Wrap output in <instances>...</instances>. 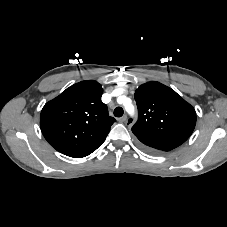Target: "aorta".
<instances>
[{"instance_id": "1", "label": "aorta", "mask_w": 227, "mask_h": 227, "mask_svg": "<svg viewBox=\"0 0 227 227\" xmlns=\"http://www.w3.org/2000/svg\"><path fill=\"white\" fill-rule=\"evenodd\" d=\"M125 108H126V111L129 113V114H133L134 113V107L131 105V104H126L125 105Z\"/></svg>"}]
</instances>
